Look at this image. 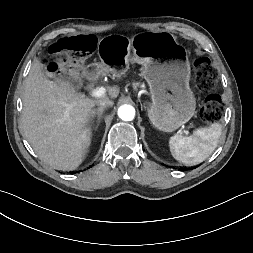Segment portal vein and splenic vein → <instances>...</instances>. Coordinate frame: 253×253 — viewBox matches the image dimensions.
Instances as JSON below:
<instances>
[{
  "instance_id": "18ae733b",
  "label": "portal vein and splenic vein",
  "mask_w": 253,
  "mask_h": 253,
  "mask_svg": "<svg viewBox=\"0 0 253 253\" xmlns=\"http://www.w3.org/2000/svg\"><path fill=\"white\" fill-rule=\"evenodd\" d=\"M104 94H105V88L104 87H98V88L92 90V92H91V96L95 97V98L102 97ZM183 132L186 135H188V133H189L187 130H184Z\"/></svg>"
}]
</instances>
